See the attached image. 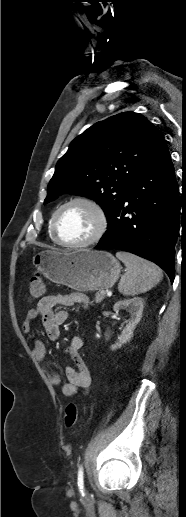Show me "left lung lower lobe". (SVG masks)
<instances>
[{"label": "left lung lower lobe", "mask_w": 186, "mask_h": 517, "mask_svg": "<svg viewBox=\"0 0 186 517\" xmlns=\"http://www.w3.org/2000/svg\"><path fill=\"white\" fill-rule=\"evenodd\" d=\"M180 210L179 187L163 141L129 183L124 201L95 248L120 249L153 261L173 282Z\"/></svg>", "instance_id": "1"}]
</instances>
